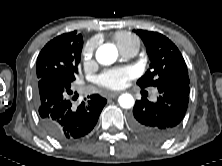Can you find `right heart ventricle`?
I'll use <instances>...</instances> for the list:
<instances>
[{"instance_id":"e07e8e85","label":"right heart ventricle","mask_w":222,"mask_h":166,"mask_svg":"<svg viewBox=\"0 0 222 166\" xmlns=\"http://www.w3.org/2000/svg\"><path fill=\"white\" fill-rule=\"evenodd\" d=\"M113 39L121 52L128 49H138L139 39L130 32H117L114 34Z\"/></svg>"}]
</instances>
